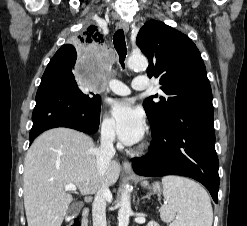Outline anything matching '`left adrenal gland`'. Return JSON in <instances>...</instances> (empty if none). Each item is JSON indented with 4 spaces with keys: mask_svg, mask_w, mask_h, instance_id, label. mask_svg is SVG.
<instances>
[{
    "mask_svg": "<svg viewBox=\"0 0 247 226\" xmlns=\"http://www.w3.org/2000/svg\"><path fill=\"white\" fill-rule=\"evenodd\" d=\"M150 197H151V195L149 194V193H147L145 196H143V198L142 199H150Z\"/></svg>",
    "mask_w": 247,
    "mask_h": 226,
    "instance_id": "left-adrenal-gland-1",
    "label": "left adrenal gland"
}]
</instances>
